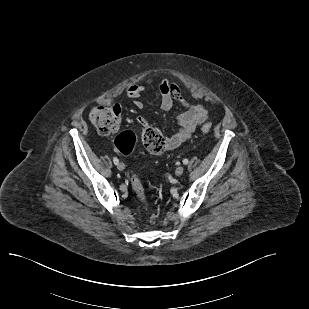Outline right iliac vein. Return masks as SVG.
Masks as SVG:
<instances>
[{
  "label": "right iliac vein",
  "instance_id": "right-iliac-vein-1",
  "mask_svg": "<svg viewBox=\"0 0 309 309\" xmlns=\"http://www.w3.org/2000/svg\"><path fill=\"white\" fill-rule=\"evenodd\" d=\"M117 168H118V170L123 171L125 169L124 163H122V162L118 163Z\"/></svg>",
  "mask_w": 309,
  "mask_h": 309
}]
</instances>
